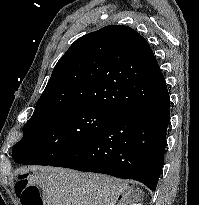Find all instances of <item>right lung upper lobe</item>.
Returning <instances> with one entry per match:
<instances>
[{
	"instance_id": "right-lung-upper-lobe-1",
	"label": "right lung upper lobe",
	"mask_w": 199,
	"mask_h": 205,
	"mask_svg": "<svg viewBox=\"0 0 199 205\" xmlns=\"http://www.w3.org/2000/svg\"><path fill=\"white\" fill-rule=\"evenodd\" d=\"M160 74L151 47L138 32L106 26L77 39L60 58L35 110L88 105L116 114L144 95L137 85L156 81Z\"/></svg>"
}]
</instances>
